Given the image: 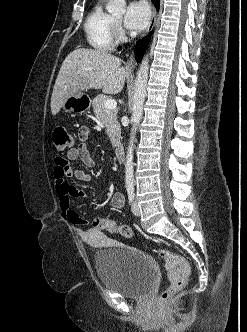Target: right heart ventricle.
Instances as JSON below:
<instances>
[{"instance_id":"e07e8e85","label":"right heart ventricle","mask_w":247,"mask_h":332,"mask_svg":"<svg viewBox=\"0 0 247 332\" xmlns=\"http://www.w3.org/2000/svg\"><path fill=\"white\" fill-rule=\"evenodd\" d=\"M112 23V16L105 11L103 0H100L92 8L84 24L86 38L91 47L98 51L113 49Z\"/></svg>"}]
</instances>
